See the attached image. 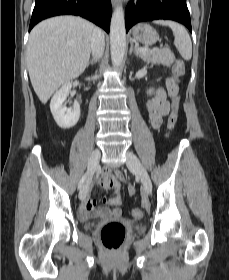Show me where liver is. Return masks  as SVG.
Here are the masks:
<instances>
[{
    "mask_svg": "<svg viewBox=\"0 0 229 280\" xmlns=\"http://www.w3.org/2000/svg\"><path fill=\"white\" fill-rule=\"evenodd\" d=\"M94 29L91 22L74 16L53 17L32 29L27 45V69L43 104L61 85L84 72Z\"/></svg>",
    "mask_w": 229,
    "mask_h": 280,
    "instance_id": "liver-1",
    "label": "liver"
}]
</instances>
